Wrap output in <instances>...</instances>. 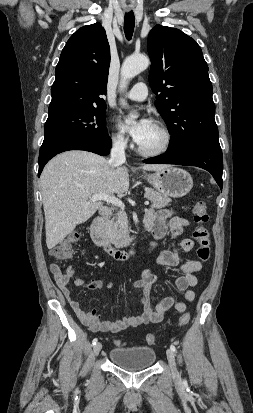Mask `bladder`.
Wrapping results in <instances>:
<instances>
[{"mask_svg": "<svg viewBox=\"0 0 253 413\" xmlns=\"http://www.w3.org/2000/svg\"><path fill=\"white\" fill-rule=\"evenodd\" d=\"M109 358L118 367L135 371L151 367L156 360V353L147 346H118L111 349Z\"/></svg>", "mask_w": 253, "mask_h": 413, "instance_id": "1", "label": "bladder"}]
</instances>
